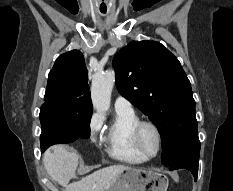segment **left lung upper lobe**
Returning a JSON list of instances; mask_svg holds the SVG:
<instances>
[{
	"label": "left lung upper lobe",
	"instance_id": "obj_1",
	"mask_svg": "<svg viewBox=\"0 0 233 191\" xmlns=\"http://www.w3.org/2000/svg\"><path fill=\"white\" fill-rule=\"evenodd\" d=\"M113 67L121 95L157 126L163 164L199 154L195 101L178 59L159 42L133 41L117 52Z\"/></svg>",
	"mask_w": 233,
	"mask_h": 191
}]
</instances>
